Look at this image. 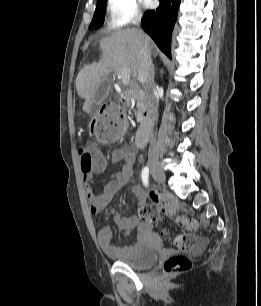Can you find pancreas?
<instances>
[{
  "mask_svg": "<svg viewBox=\"0 0 261 306\" xmlns=\"http://www.w3.org/2000/svg\"><path fill=\"white\" fill-rule=\"evenodd\" d=\"M144 103L143 101H137V110H135V117L140 122L144 117Z\"/></svg>",
  "mask_w": 261,
  "mask_h": 306,
  "instance_id": "1",
  "label": "pancreas"
}]
</instances>
